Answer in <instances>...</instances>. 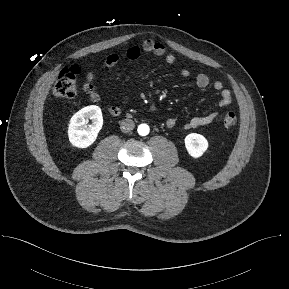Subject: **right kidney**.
<instances>
[{
  "label": "right kidney",
  "mask_w": 289,
  "mask_h": 289,
  "mask_svg": "<svg viewBox=\"0 0 289 289\" xmlns=\"http://www.w3.org/2000/svg\"><path fill=\"white\" fill-rule=\"evenodd\" d=\"M92 124L86 125L88 120ZM103 125L100 107L90 105L75 113L69 123L68 137L70 143L77 148H87L92 145Z\"/></svg>",
  "instance_id": "obj_1"
}]
</instances>
